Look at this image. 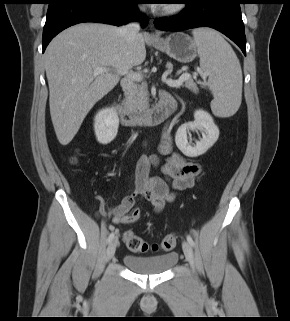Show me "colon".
<instances>
[{"instance_id":"1","label":"colon","mask_w":290,"mask_h":321,"mask_svg":"<svg viewBox=\"0 0 290 321\" xmlns=\"http://www.w3.org/2000/svg\"><path fill=\"white\" fill-rule=\"evenodd\" d=\"M140 216L139 210L135 209L128 214L127 222H135ZM123 240L129 250L146 253L148 251H171L176 245V236L174 234H167L163 239L158 243H149L144 239L140 238L133 231L127 230L123 234Z\"/></svg>"}]
</instances>
